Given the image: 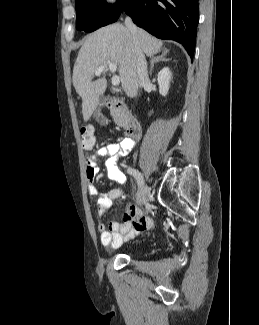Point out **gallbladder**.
I'll return each instance as SVG.
<instances>
[{
	"mask_svg": "<svg viewBox=\"0 0 259 325\" xmlns=\"http://www.w3.org/2000/svg\"><path fill=\"white\" fill-rule=\"evenodd\" d=\"M94 117H95V119L99 122V123H101L102 125H105V124H107V122H108V120L101 114V113H96L95 115H94Z\"/></svg>",
	"mask_w": 259,
	"mask_h": 325,
	"instance_id": "obj_1",
	"label": "gallbladder"
}]
</instances>
